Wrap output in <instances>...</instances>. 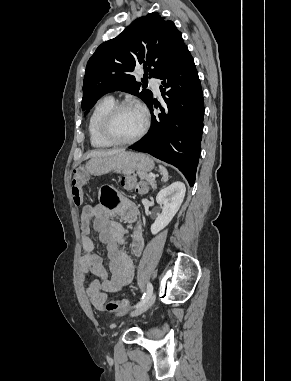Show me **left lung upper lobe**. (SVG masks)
Masks as SVG:
<instances>
[{
    "label": "left lung upper lobe",
    "mask_w": 291,
    "mask_h": 381,
    "mask_svg": "<svg viewBox=\"0 0 291 381\" xmlns=\"http://www.w3.org/2000/svg\"><path fill=\"white\" fill-rule=\"evenodd\" d=\"M187 48L182 34L170 20L149 13L128 26L116 38L102 43L86 67L82 110L86 113L104 94L116 90L141 98L147 106L153 99L150 90L131 74L142 64L145 76L159 78Z\"/></svg>",
    "instance_id": "5c2ea615"
}]
</instances>
